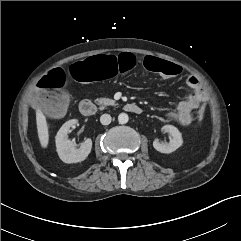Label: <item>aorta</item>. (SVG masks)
Wrapping results in <instances>:
<instances>
[{
  "instance_id": "aorta-1",
  "label": "aorta",
  "mask_w": 241,
  "mask_h": 241,
  "mask_svg": "<svg viewBox=\"0 0 241 241\" xmlns=\"http://www.w3.org/2000/svg\"><path fill=\"white\" fill-rule=\"evenodd\" d=\"M118 121L120 124H126L129 121V117L126 113H120L118 116Z\"/></svg>"
}]
</instances>
